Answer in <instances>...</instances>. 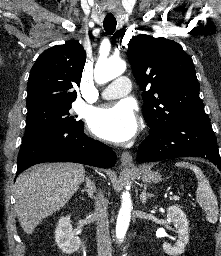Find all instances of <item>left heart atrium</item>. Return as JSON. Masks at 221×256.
Returning <instances> with one entry per match:
<instances>
[{
    "mask_svg": "<svg viewBox=\"0 0 221 256\" xmlns=\"http://www.w3.org/2000/svg\"><path fill=\"white\" fill-rule=\"evenodd\" d=\"M88 124L93 134L114 143L132 139L138 130L135 111L124 101L95 109L89 116Z\"/></svg>",
    "mask_w": 221,
    "mask_h": 256,
    "instance_id": "1",
    "label": "left heart atrium"
}]
</instances>
